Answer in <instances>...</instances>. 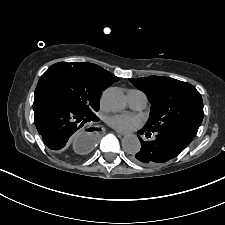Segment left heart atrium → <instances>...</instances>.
I'll return each mask as SVG.
<instances>
[{"label":"left heart atrium","instance_id":"left-heart-atrium-1","mask_svg":"<svg viewBox=\"0 0 225 225\" xmlns=\"http://www.w3.org/2000/svg\"><path fill=\"white\" fill-rule=\"evenodd\" d=\"M107 121L113 128L124 132L131 131L140 124L137 117L128 114L113 115Z\"/></svg>","mask_w":225,"mask_h":225}]
</instances>
